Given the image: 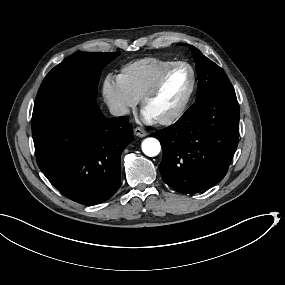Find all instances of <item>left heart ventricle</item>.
Instances as JSON below:
<instances>
[{"label": "left heart ventricle", "instance_id": "b2bd125f", "mask_svg": "<svg viewBox=\"0 0 285 285\" xmlns=\"http://www.w3.org/2000/svg\"><path fill=\"white\" fill-rule=\"evenodd\" d=\"M189 80L184 73L173 74L146 104L144 110L156 118L176 110L183 102L188 89Z\"/></svg>", "mask_w": 285, "mask_h": 285}]
</instances>
